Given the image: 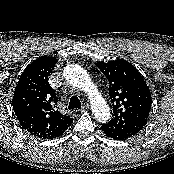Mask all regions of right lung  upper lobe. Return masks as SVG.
<instances>
[{
    "label": "right lung upper lobe",
    "mask_w": 174,
    "mask_h": 174,
    "mask_svg": "<svg viewBox=\"0 0 174 174\" xmlns=\"http://www.w3.org/2000/svg\"><path fill=\"white\" fill-rule=\"evenodd\" d=\"M57 59L41 56L21 74L12 99L13 110L21 126L30 134L53 139L64 133L73 119L57 108V97L48 82Z\"/></svg>",
    "instance_id": "cb5924a9"
}]
</instances>
